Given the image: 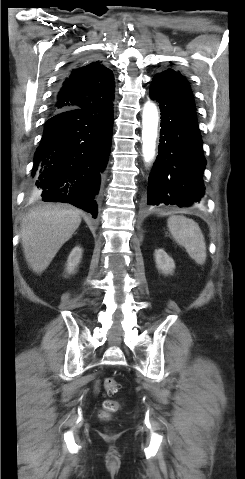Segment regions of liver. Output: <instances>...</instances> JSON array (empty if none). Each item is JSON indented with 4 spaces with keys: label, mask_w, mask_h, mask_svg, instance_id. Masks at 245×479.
Listing matches in <instances>:
<instances>
[{
    "label": "liver",
    "mask_w": 245,
    "mask_h": 479,
    "mask_svg": "<svg viewBox=\"0 0 245 479\" xmlns=\"http://www.w3.org/2000/svg\"><path fill=\"white\" fill-rule=\"evenodd\" d=\"M80 213L65 206H43L29 212L21 224V244L29 267L41 274L77 230Z\"/></svg>",
    "instance_id": "6515ba94"
}]
</instances>
